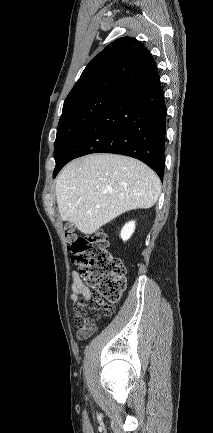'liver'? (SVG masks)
I'll use <instances>...</instances> for the list:
<instances>
[{
	"label": "liver",
	"mask_w": 213,
	"mask_h": 433,
	"mask_svg": "<svg viewBox=\"0 0 213 433\" xmlns=\"http://www.w3.org/2000/svg\"><path fill=\"white\" fill-rule=\"evenodd\" d=\"M55 192L61 218L80 232L93 234L124 212L152 207L161 193V182L137 159L91 154L62 169Z\"/></svg>",
	"instance_id": "6515ba94"
}]
</instances>
